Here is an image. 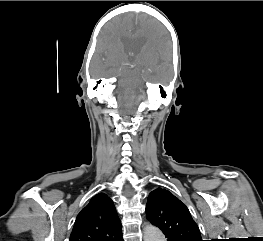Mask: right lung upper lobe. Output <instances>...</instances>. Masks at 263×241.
Masks as SVG:
<instances>
[{"label":"right lung upper lobe","instance_id":"right-lung-upper-lobe-1","mask_svg":"<svg viewBox=\"0 0 263 241\" xmlns=\"http://www.w3.org/2000/svg\"><path fill=\"white\" fill-rule=\"evenodd\" d=\"M69 241H123L113 201L103 193L95 195L78 214Z\"/></svg>","mask_w":263,"mask_h":241}]
</instances>
